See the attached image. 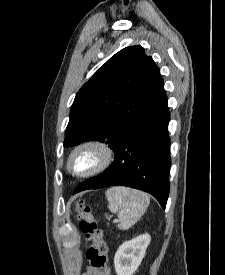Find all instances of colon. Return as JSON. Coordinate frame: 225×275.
<instances>
[{
    "instance_id": "colon-1",
    "label": "colon",
    "mask_w": 225,
    "mask_h": 275,
    "mask_svg": "<svg viewBox=\"0 0 225 275\" xmlns=\"http://www.w3.org/2000/svg\"><path fill=\"white\" fill-rule=\"evenodd\" d=\"M75 210L80 222V230L89 241L86 257L91 267L102 275H110L108 248L98 222L91 215L90 207L82 200L76 202Z\"/></svg>"
}]
</instances>
